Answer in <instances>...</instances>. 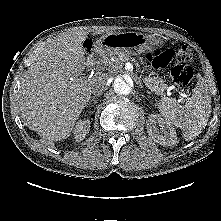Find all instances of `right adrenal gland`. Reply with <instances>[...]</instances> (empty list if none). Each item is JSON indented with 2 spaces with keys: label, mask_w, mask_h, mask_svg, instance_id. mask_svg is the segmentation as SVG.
<instances>
[{
  "label": "right adrenal gland",
  "mask_w": 221,
  "mask_h": 221,
  "mask_svg": "<svg viewBox=\"0 0 221 221\" xmlns=\"http://www.w3.org/2000/svg\"><path fill=\"white\" fill-rule=\"evenodd\" d=\"M88 102L89 103L94 102L95 104L97 103V101L94 98H92V99L89 98Z\"/></svg>",
  "instance_id": "obj_1"
}]
</instances>
